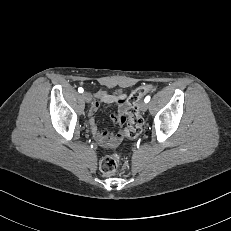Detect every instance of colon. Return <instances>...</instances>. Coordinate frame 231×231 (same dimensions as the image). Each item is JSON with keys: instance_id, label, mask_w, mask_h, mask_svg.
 <instances>
[{"instance_id": "obj_1", "label": "colon", "mask_w": 231, "mask_h": 231, "mask_svg": "<svg viewBox=\"0 0 231 231\" xmlns=\"http://www.w3.org/2000/svg\"><path fill=\"white\" fill-rule=\"evenodd\" d=\"M153 89L152 85H143L136 88L127 99L126 111L124 114L126 128L123 135L126 138H136L142 129L143 119L140 114L139 103L142 97ZM129 167L127 159L120 160L116 153H111L103 157L100 163V169L107 176L114 175L118 169L126 171Z\"/></svg>"}]
</instances>
